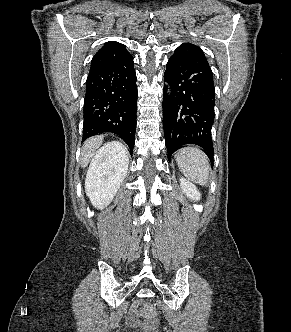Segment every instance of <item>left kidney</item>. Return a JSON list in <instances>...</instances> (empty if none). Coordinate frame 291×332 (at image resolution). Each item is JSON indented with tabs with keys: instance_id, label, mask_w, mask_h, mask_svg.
Here are the masks:
<instances>
[{
	"instance_id": "left-kidney-1",
	"label": "left kidney",
	"mask_w": 291,
	"mask_h": 332,
	"mask_svg": "<svg viewBox=\"0 0 291 332\" xmlns=\"http://www.w3.org/2000/svg\"><path fill=\"white\" fill-rule=\"evenodd\" d=\"M180 184H181V189L182 192L192 200H199L200 199V192L197 190L196 186L186 180L185 178L181 177L180 178Z\"/></svg>"
}]
</instances>
